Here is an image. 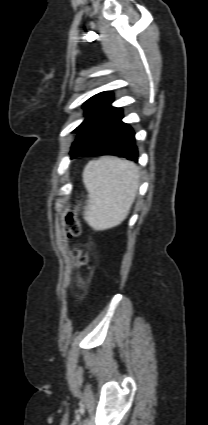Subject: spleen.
Segmentation results:
<instances>
[{"mask_svg":"<svg viewBox=\"0 0 208 425\" xmlns=\"http://www.w3.org/2000/svg\"><path fill=\"white\" fill-rule=\"evenodd\" d=\"M82 178L89 193L87 223L95 230L121 224L138 192L139 168L130 161L104 156L89 161Z\"/></svg>","mask_w":208,"mask_h":425,"instance_id":"1","label":"spleen"}]
</instances>
